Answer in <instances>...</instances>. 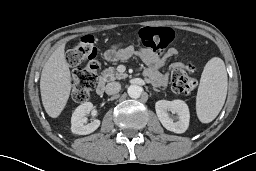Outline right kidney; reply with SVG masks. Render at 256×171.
Wrapping results in <instances>:
<instances>
[{
	"label": "right kidney",
	"instance_id": "ca27d5eb",
	"mask_svg": "<svg viewBox=\"0 0 256 171\" xmlns=\"http://www.w3.org/2000/svg\"><path fill=\"white\" fill-rule=\"evenodd\" d=\"M93 109L91 102H85L79 105L71 117V131L74 134L87 135L94 132L100 126V120L94 119L91 123L87 124L86 114L90 113Z\"/></svg>",
	"mask_w": 256,
	"mask_h": 171
}]
</instances>
